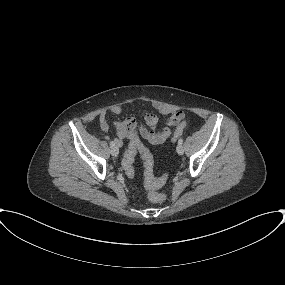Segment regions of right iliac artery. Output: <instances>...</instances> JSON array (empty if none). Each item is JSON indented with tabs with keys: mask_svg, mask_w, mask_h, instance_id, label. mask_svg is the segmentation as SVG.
<instances>
[{
	"mask_svg": "<svg viewBox=\"0 0 285 285\" xmlns=\"http://www.w3.org/2000/svg\"><path fill=\"white\" fill-rule=\"evenodd\" d=\"M110 146H111V147H114V146H115L114 141H111V142H110Z\"/></svg>",
	"mask_w": 285,
	"mask_h": 285,
	"instance_id": "obj_1",
	"label": "right iliac artery"
}]
</instances>
